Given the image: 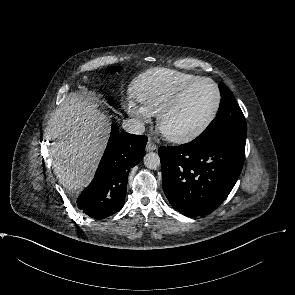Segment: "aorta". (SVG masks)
Instances as JSON below:
<instances>
[{"instance_id":"obj_1","label":"aorta","mask_w":295,"mask_h":295,"mask_svg":"<svg viewBox=\"0 0 295 295\" xmlns=\"http://www.w3.org/2000/svg\"><path fill=\"white\" fill-rule=\"evenodd\" d=\"M144 164L148 169H156L160 166V157L157 153L149 152L144 156Z\"/></svg>"}]
</instances>
